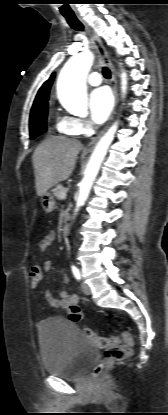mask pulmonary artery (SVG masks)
<instances>
[{
  "instance_id": "obj_1",
  "label": "pulmonary artery",
  "mask_w": 168,
  "mask_h": 415,
  "mask_svg": "<svg viewBox=\"0 0 168 415\" xmlns=\"http://www.w3.org/2000/svg\"><path fill=\"white\" fill-rule=\"evenodd\" d=\"M101 76L97 72L91 73L87 78V83L91 86H98L101 84Z\"/></svg>"
}]
</instances>
